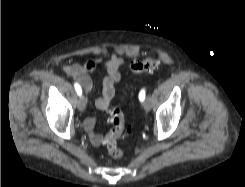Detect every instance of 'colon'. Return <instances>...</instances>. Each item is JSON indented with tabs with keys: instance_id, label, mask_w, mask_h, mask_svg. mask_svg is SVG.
Returning <instances> with one entry per match:
<instances>
[{
	"instance_id": "colon-1",
	"label": "colon",
	"mask_w": 245,
	"mask_h": 187,
	"mask_svg": "<svg viewBox=\"0 0 245 187\" xmlns=\"http://www.w3.org/2000/svg\"><path fill=\"white\" fill-rule=\"evenodd\" d=\"M159 65L160 60L158 56L156 54H151L142 61L132 63L130 69L135 74H144L154 71ZM108 114L113 128L104 139V145L110 156L120 158L123 155V151L117 146L116 141L128 135L131 129L126 124L125 115L120 107H109Z\"/></svg>"
}]
</instances>
